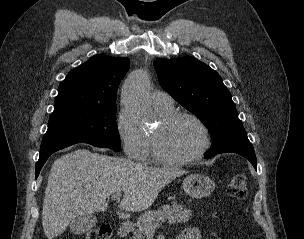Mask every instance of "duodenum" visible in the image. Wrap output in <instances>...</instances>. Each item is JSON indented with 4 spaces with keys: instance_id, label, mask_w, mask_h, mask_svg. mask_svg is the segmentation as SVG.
<instances>
[{
    "instance_id": "410a0bca",
    "label": "duodenum",
    "mask_w": 304,
    "mask_h": 239,
    "mask_svg": "<svg viewBox=\"0 0 304 239\" xmlns=\"http://www.w3.org/2000/svg\"><path fill=\"white\" fill-rule=\"evenodd\" d=\"M132 228V223L131 221H123L122 223H120L119 227H118V235L120 237H125L129 234V232L131 231Z\"/></svg>"
}]
</instances>
